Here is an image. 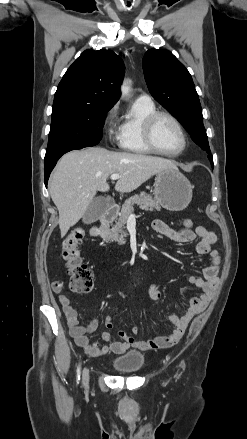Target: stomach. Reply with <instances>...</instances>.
Returning <instances> with one entry per match:
<instances>
[{
	"label": "stomach",
	"instance_id": "0dacf381",
	"mask_svg": "<svg viewBox=\"0 0 247 439\" xmlns=\"http://www.w3.org/2000/svg\"><path fill=\"white\" fill-rule=\"evenodd\" d=\"M192 190L191 183L178 168L164 169L155 177V200L167 210H184L192 199Z\"/></svg>",
	"mask_w": 247,
	"mask_h": 439
}]
</instances>
